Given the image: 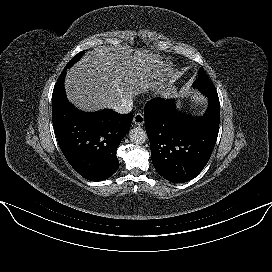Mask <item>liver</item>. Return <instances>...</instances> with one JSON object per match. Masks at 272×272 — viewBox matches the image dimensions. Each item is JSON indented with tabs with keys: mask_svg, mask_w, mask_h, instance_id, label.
Instances as JSON below:
<instances>
[{
	"mask_svg": "<svg viewBox=\"0 0 272 272\" xmlns=\"http://www.w3.org/2000/svg\"><path fill=\"white\" fill-rule=\"evenodd\" d=\"M163 64L157 54L122 46H99L68 72L66 94L83 111L111 108L122 98L163 88Z\"/></svg>",
	"mask_w": 272,
	"mask_h": 272,
	"instance_id": "6515ba94",
	"label": "liver"
}]
</instances>
